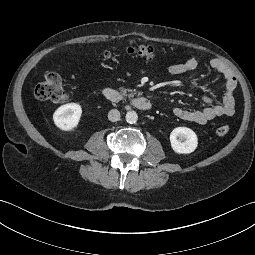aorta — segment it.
Segmentation results:
<instances>
[{"mask_svg": "<svg viewBox=\"0 0 255 255\" xmlns=\"http://www.w3.org/2000/svg\"><path fill=\"white\" fill-rule=\"evenodd\" d=\"M125 118H126V121H127L129 124H134V123H136L137 120H138V115H137V113H136L135 111H128V112L126 113Z\"/></svg>", "mask_w": 255, "mask_h": 255, "instance_id": "obj_1", "label": "aorta"}]
</instances>
